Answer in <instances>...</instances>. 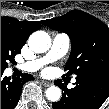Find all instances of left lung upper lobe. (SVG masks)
<instances>
[{
    "mask_svg": "<svg viewBox=\"0 0 109 109\" xmlns=\"http://www.w3.org/2000/svg\"><path fill=\"white\" fill-rule=\"evenodd\" d=\"M47 27L65 32L71 40V53L64 70L77 76L88 72L109 75V27L96 17L72 10L42 21Z\"/></svg>",
    "mask_w": 109,
    "mask_h": 109,
    "instance_id": "5c2ea615",
    "label": "left lung upper lobe"
}]
</instances>
